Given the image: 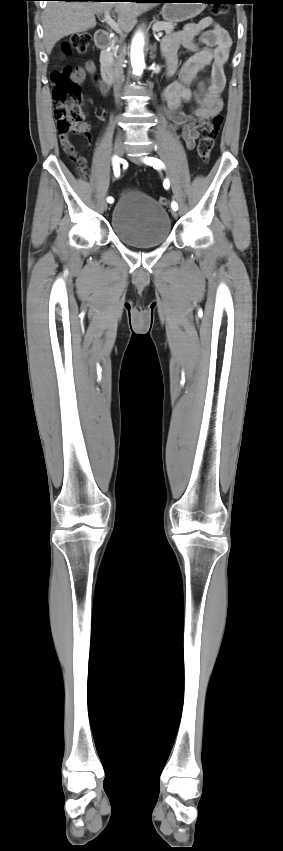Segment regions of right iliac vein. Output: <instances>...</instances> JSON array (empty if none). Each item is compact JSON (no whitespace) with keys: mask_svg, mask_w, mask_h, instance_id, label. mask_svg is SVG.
<instances>
[{"mask_svg":"<svg viewBox=\"0 0 283 851\" xmlns=\"http://www.w3.org/2000/svg\"><path fill=\"white\" fill-rule=\"evenodd\" d=\"M115 153H116V154H117V156H119V157H121V156L123 155V153H124V147H123V145H122L119 141H117V142L115 143ZM103 209H104L105 211L108 209V203H107L106 201H104V202H103Z\"/></svg>","mask_w":283,"mask_h":851,"instance_id":"1","label":"right iliac vein"}]
</instances>
